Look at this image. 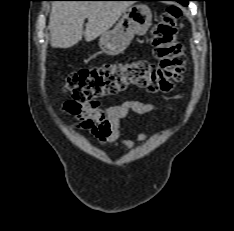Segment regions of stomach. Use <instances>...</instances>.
Returning <instances> with one entry per match:
<instances>
[{
	"label": "stomach",
	"mask_w": 234,
	"mask_h": 231,
	"mask_svg": "<svg viewBox=\"0 0 234 231\" xmlns=\"http://www.w3.org/2000/svg\"><path fill=\"white\" fill-rule=\"evenodd\" d=\"M151 22L152 13L147 5L130 6L116 26L101 35L99 46L108 55H118L129 46L135 35H145Z\"/></svg>",
	"instance_id": "0dacf381"
}]
</instances>
